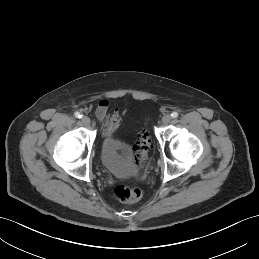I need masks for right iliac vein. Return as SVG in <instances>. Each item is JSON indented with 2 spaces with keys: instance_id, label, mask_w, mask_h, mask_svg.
<instances>
[{
  "instance_id": "obj_1",
  "label": "right iliac vein",
  "mask_w": 259,
  "mask_h": 259,
  "mask_svg": "<svg viewBox=\"0 0 259 259\" xmlns=\"http://www.w3.org/2000/svg\"><path fill=\"white\" fill-rule=\"evenodd\" d=\"M81 120H82V122H83L85 125H89V124H90V119H89V117H87V116H83Z\"/></svg>"
}]
</instances>
